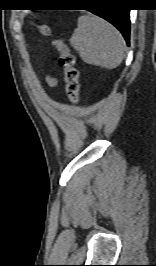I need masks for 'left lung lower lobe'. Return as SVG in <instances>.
Listing matches in <instances>:
<instances>
[{"mask_svg":"<svg viewBox=\"0 0 156 266\" xmlns=\"http://www.w3.org/2000/svg\"><path fill=\"white\" fill-rule=\"evenodd\" d=\"M90 2L98 5L84 10H89L113 24L122 33L127 44H129L130 10L110 7L109 0H92Z\"/></svg>","mask_w":156,"mask_h":266,"instance_id":"left-lung-lower-lobe-1","label":"left lung lower lobe"}]
</instances>
